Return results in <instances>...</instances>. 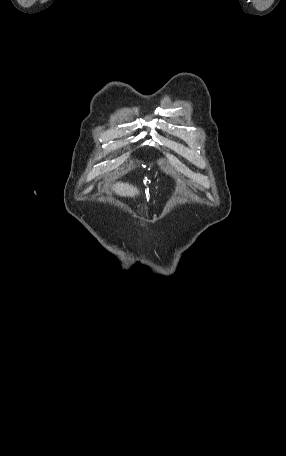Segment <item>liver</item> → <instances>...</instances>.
<instances>
[{
  "instance_id": "obj_1",
  "label": "liver",
  "mask_w": 286,
  "mask_h": 456,
  "mask_svg": "<svg viewBox=\"0 0 286 456\" xmlns=\"http://www.w3.org/2000/svg\"><path fill=\"white\" fill-rule=\"evenodd\" d=\"M113 190L117 195L120 196H128V197H134L139 194V191L136 187L128 184V183H116L113 186Z\"/></svg>"
}]
</instances>
